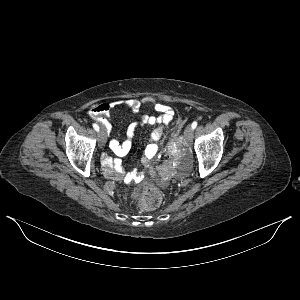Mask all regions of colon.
Segmentation results:
<instances>
[{
    "mask_svg": "<svg viewBox=\"0 0 300 300\" xmlns=\"http://www.w3.org/2000/svg\"><path fill=\"white\" fill-rule=\"evenodd\" d=\"M157 182L150 180L147 184H142L133 191V197L138 202L139 206L144 210H153L160 206L162 197L156 189Z\"/></svg>",
    "mask_w": 300,
    "mask_h": 300,
    "instance_id": "5ec220e1",
    "label": "colon"
}]
</instances>
